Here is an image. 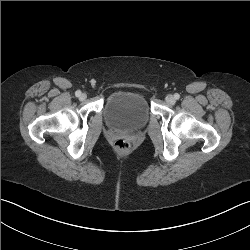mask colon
Instances as JSON below:
<instances>
[{"mask_svg": "<svg viewBox=\"0 0 250 250\" xmlns=\"http://www.w3.org/2000/svg\"><path fill=\"white\" fill-rule=\"evenodd\" d=\"M114 148L120 153H126L130 149V143L126 139L119 138L115 140Z\"/></svg>", "mask_w": 250, "mask_h": 250, "instance_id": "1", "label": "colon"}]
</instances>
